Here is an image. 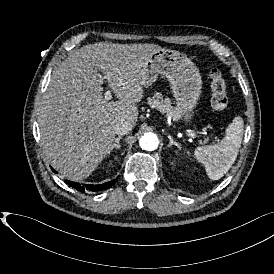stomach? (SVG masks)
I'll return each mask as SVG.
<instances>
[{
    "mask_svg": "<svg viewBox=\"0 0 274 274\" xmlns=\"http://www.w3.org/2000/svg\"><path fill=\"white\" fill-rule=\"evenodd\" d=\"M159 74L169 81L173 96L183 111L182 119L191 121L202 88L197 66L185 54L161 48L150 57L144 68L143 86H150Z\"/></svg>",
    "mask_w": 274,
    "mask_h": 274,
    "instance_id": "0dacf381",
    "label": "stomach"
}]
</instances>
